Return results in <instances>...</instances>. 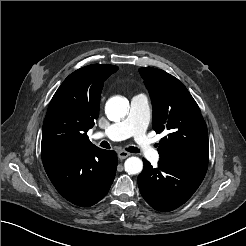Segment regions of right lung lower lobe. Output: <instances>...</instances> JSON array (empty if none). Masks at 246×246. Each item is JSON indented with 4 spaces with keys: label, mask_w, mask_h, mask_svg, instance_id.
<instances>
[{
    "label": "right lung lower lobe",
    "mask_w": 246,
    "mask_h": 246,
    "mask_svg": "<svg viewBox=\"0 0 246 246\" xmlns=\"http://www.w3.org/2000/svg\"><path fill=\"white\" fill-rule=\"evenodd\" d=\"M57 191L71 203L88 207L108 193L114 180L117 155L98 147L57 154L43 161Z\"/></svg>",
    "instance_id": "obj_1"
}]
</instances>
